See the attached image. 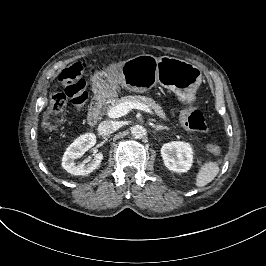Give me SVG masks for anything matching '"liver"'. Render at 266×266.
Instances as JSON below:
<instances>
[{
    "label": "liver",
    "instance_id": "liver-1",
    "mask_svg": "<svg viewBox=\"0 0 266 266\" xmlns=\"http://www.w3.org/2000/svg\"><path fill=\"white\" fill-rule=\"evenodd\" d=\"M100 76H105L106 78H108V82L111 85L110 90H97L95 85L99 88H101L100 83H103L104 81L99 77ZM114 74L111 71V74L108 75L106 72L102 71V72H97L96 74H94L93 77H91V81H93V92L96 94L98 93V97L100 98H111L113 99L114 97H116V90L118 89V84L117 81H112L111 76H113Z\"/></svg>",
    "mask_w": 266,
    "mask_h": 266
}]
</instances>
